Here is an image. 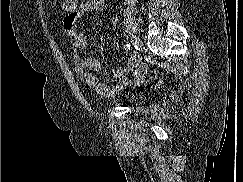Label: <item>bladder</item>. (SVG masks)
Returning <instances> with one entry per match:
<instances>
[{
    "instance_id": "obj_1",
    "label": "bladder",
    "mask_w": 243,
    "mask_h": 182,
    "mask_svg": "<svg viewBox=\"0 0 243 182\" xmlns=\"http://www.w3.org/2000/svg\"><path fill=\"white\" fill-rule=\"evenodd\" d=\"M143 101V94L137 91L128 92L123 99V102L127 105H138Z\"/></svg>"
}]
</instances>
